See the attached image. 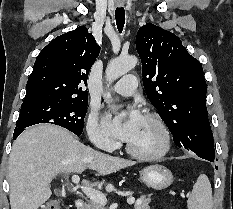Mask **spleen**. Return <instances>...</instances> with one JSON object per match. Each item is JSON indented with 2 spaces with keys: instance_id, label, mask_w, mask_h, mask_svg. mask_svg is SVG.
<instances>
[{
  "instance_id": "1",
  "label": "spleen",
  "mask_w": 233,
  "mask_h": 209,
  "mask_svg": "<svg viewBox=\"0 0 233 209\" xmlns=\"http://www.w3.org/2000/svg\"><path fill=\"white\" fill-rule=\"evenodd\" d=\"M212 189L208 177L201 174L188 198V209H212Z\"/></svg>"
}]
</instances>
